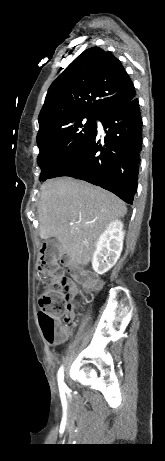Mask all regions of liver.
Returning <instances> with one entry per match:
<instances>
[{"label":"liver","instance_id":"obj_1","mask_svg":"<svg viewBox=\"0 0 165 461\" xmlns=\"http://www.w3.org/2000/svg\"><path fill=\"white\" fill-rule=\"evenodd\" d=\"M126 213L125 203L100 187L70 177L50 179L41 186L40 237H55L61 252L84 266L102 231Z\"/></svg>","mask_w":165,"mask_h":461}]
</instances>
